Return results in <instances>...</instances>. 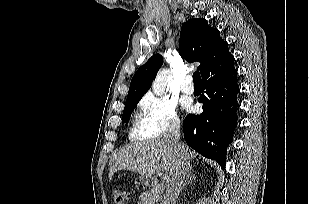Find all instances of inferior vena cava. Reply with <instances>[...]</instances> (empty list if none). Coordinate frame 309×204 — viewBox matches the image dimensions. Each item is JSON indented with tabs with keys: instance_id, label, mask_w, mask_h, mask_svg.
<instances>
[{
	"instance_id": "obj_1",
	"label": "inferior vena cava",
	"mask_w": 309,
	"mask_h": 204,
	"mask_svg": "<svg viewBox=\"0 0 309 204\" xmlns=\"http://www.w3.org/2000/svg\"><path fill=\"white\" fill-rule=\"evenodd\" d=\"M168 143L174 148L177 155V165L167 184L162 204H175L180 191L185 186L190 171L189 159L184 145L180 141V123H174L165 136Z\"/></svg>"
}]
</instances>
